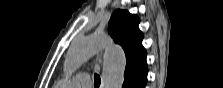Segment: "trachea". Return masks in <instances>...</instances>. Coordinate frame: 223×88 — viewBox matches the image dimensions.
Instances as JSON below:
<instances>
[{
	"mask_svg": "<svg viewBox=\"0 0 223 88\" xmlns=\"http://www.w3.org/2000/svg\"><path fill=\"white\" fill-rule=\"evenodd\" d=\"M100 83H101L100 76H99L98 74H95V75H94V85H95L96 87H99Z\"/></svg>",
	"mask_w": 223,
	"mask_h": 88,
	"instance_id": "obj_1",
	"label": "trachea"
}]
</instances>
